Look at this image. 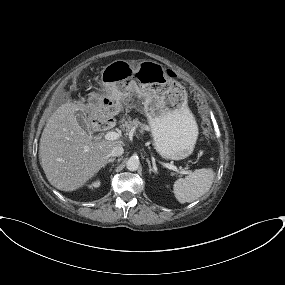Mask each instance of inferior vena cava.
Wrapping results in <instances>:
<instances>
[{
	"instance_id": "602c4592",
	"label": "inferior vena cava",
	"mask_w": 285,
	"mask_h": 285,
	"mask_svg": "<svg viewBox=\"0 0 285 285\" xmlns=\"http://www.w3.org/2000/svg\"><path fill=\"white\" fill-rule=\"evenodd\" d=\"M124 153V149L122 146H115L111 151V156L118 157Z\"/></svg>"
}]
</instances>
